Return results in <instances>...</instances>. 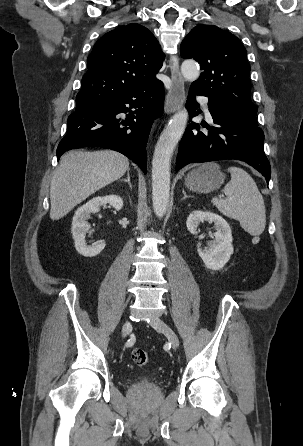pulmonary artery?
Here are the masks:
<instances>
[{
	"instance_id": "pulmonary-artery-1",
	"label": "pulmonary artery",
	"mask_w": 303,
	"mask_h": 446,
	"mask_svg": "<svg viewBox=\"0 0 303 446\" xmlns=\"http://www.w3.org/2000/svg\"><path fill=\"white\" fill-rule=\"evenodd\" d=\"M199 100L203 106L206 117L211 118V114H210V111H209V108L207 105V98L201 96V97H199Z\"/></svg>"
}]
</instances>
